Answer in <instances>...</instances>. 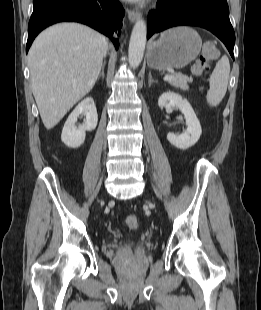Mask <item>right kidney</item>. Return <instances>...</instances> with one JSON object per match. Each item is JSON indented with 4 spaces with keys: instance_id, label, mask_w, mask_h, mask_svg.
<instances>
[{
    "instance_id": "right-kidney-1",
    "label": "right kidney",
    "mask_w": 261,
    "mask_h": 310,
    "mask_svg": "<svg viewBox=\"0 0 261 310\" xmlns=\"http://www.w3.org/2000/svg\"><path fill=\"white\" fill-rule=\"evenodd\" d=\"M80 115L85 116L84 123L78 127L75 126L77 118ZM98 122L97 110L91 97L81 101L67 118L62 134V142L70 148L80 147L86 136V131H93Z\"/></svg>"
}]
</instances>
